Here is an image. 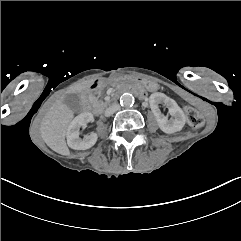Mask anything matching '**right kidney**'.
Here are the masks:
<instances>
[{"instance_id":"right-kidney-1","label":"right kidney","mask_w":241,"mask_h":241,"mask_svg":"<svg viewBox=\"0 0 241 241\" xmlns=\"http://www.w3.org/2000/svg\"><path fill=\"white\" fill-rule=\"evenodd\" d=\"M90 122H93V114L86 112L76 116L70 123L67 131V143L71 149L82 151L87 150L96 144L98 134L95 132L84 139L79 137V130L81 126H87Z\"/></svg>"}]
</instances>
